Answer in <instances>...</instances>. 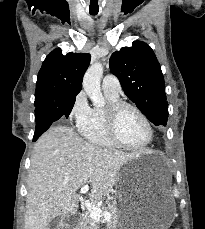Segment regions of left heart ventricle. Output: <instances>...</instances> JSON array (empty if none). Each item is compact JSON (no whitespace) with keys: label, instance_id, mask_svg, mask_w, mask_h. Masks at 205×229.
Masks as SVG:
<instances>
[{"label":"left heart ventricle","instance_id":"obj_1","mask_svg":"<svg viewBox=\"0 0 205 229\" xmlns=\"http://www.w3.org/2000/svg\"><path fill=\"white\" fill-rule=\"evenodd\" d=\"M118 135L128 145H140L147 139L148 131L143 120L130 109L124 110L118 120Z\"/></svg>","mask_w":205,"mask_h":229}]
</instances>
